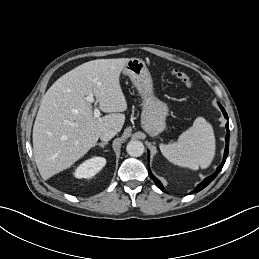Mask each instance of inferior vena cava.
Returning <instances> with one entry per match:
<instances>
[{"mask_svg": "<svg viewBox=\"0 0 259 259\" xmlns=\"http://www.w3.org/2000/svg\"><path fill=\"white\" fill-rule=\"evenodd\" d=\"M117 134V132L113 129H110V130H105L101 136H100V139L102 141H109L110 139H112L115 135Z\"/></svg>", "mask_w": 259, "mask_h": 259, "instance_id": "1", "label": "inferior vena cava"}]
</instances>
